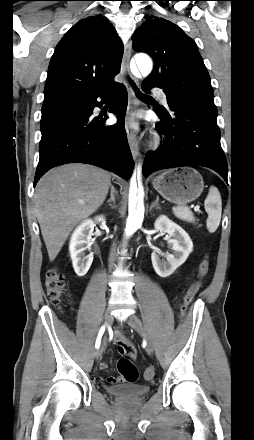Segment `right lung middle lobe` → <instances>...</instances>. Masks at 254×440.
<instances>
[{
    "label": "right lung middle lobe",
    "mask_w": 254,
    "mask_h": 440,
    "mask_svg": "<svg viewBox=\"0 0 254 440\" xmlns=\"http://www.w3.org/2000/svg\"><path fill=\"white\" fill-rule=\"evenodd\" d=\"M72 102L73 100L68 94H60L45 99L41 110V131L47 122L58 115L65 106Z\"/></svg>",
    "instance_id": "dd1d6c3e"
}]
</instances>
